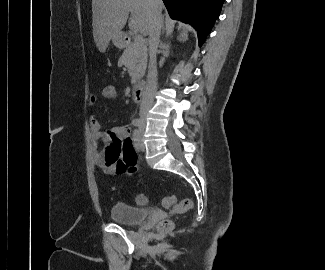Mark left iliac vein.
<instances>
[{"mask_svg": "<svg viewBox=\"0 0 325 270\" xmlns=\"http://www.w3.org/2000/svg\"><path fill=\"white\" fill-rule=\"evenodd\" d=\"M144 129H145V126L144 125H141L140 126V132H139V135H140L139 146L137 148L139 151H144L145 150V144L143 142Z\"/></svg>", "mask_w": 325, "mask_h": 270, "instance_id": "4c4485c4", "label": "left iliac vein"}]
</instances>
